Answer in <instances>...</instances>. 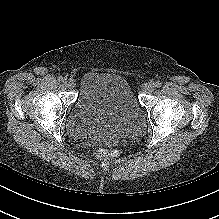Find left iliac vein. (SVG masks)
Instances as JSON below:
<instances>
[{
    "label": "left iliac vein",
    "instance_id": "left-iliac-vein-1",
    "mask_svg": "<svg viewBox=\"0 0 219 219\" xmlns=\"http://www.w3.org/2000/svg\"><path fill=\"white\" fill-rule=\"evenodd\" d=\"M155 89V84L153 82H148L142 86L144 92L150 93Z\"/></svg>",
    "mask_w": 219,
    "mask_h": 219
}]
</instances>
